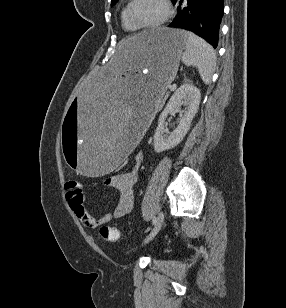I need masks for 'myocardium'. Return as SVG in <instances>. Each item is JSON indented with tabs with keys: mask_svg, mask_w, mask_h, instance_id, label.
Instances as JSON below:
<instances>
[{
	"mask_svg": "<svg viewBox=\"0 0 286 308\" xmlns=\"http://www.w3.org/2000/svg\"><path fill=\"white\" fill-rule=\"evenodd\" d=\"M137 2V0H130L129 6H128V10H127V17L128 20L130 21V23L136 27L137 29H157L161 26H163L172 16V7L170 4L169 0H161L164 9H165V14L164 16L157 22L152 23V24H140L138 23L133 15V8L135 3Z\"/></svg>",
	"mask_w": 286,
	"mask_h": 308,
	"instance_id": "myocardium-1",
	"label": "myocardium"
}]
</instances>
